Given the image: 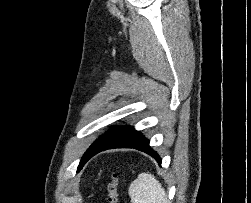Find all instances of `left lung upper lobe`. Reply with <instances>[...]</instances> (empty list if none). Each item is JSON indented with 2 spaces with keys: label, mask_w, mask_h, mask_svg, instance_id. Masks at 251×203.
Here are the masks:
<instances>
[{
  "label": "left lung upper lobe",
  "mask_w": 251,
  "mask_h": 203,
  "mask_svg": "<svg viewBox=\"0 0 251 203\" xmlns=\"http://www.w3.org/2000/svg\"><path fill=\"white\" fill-rule=\"evenodd\" d=\"M126 127H119V128H115L112 129L108 132H106L104 135H102L99 139H97L90 147L89 149L86 151V153L84 154L82 160L80 161L79 167L83 164L84 160L92 153L94 152L97 148H99L100 146H102L103 144L107 143L109 140H111L113 137H115L117 134H119L120 132H122L123 130H125ZM84 165V164H83Z\"/></svg>",
  "instance_id": "obj_1"
}]
</instances>
